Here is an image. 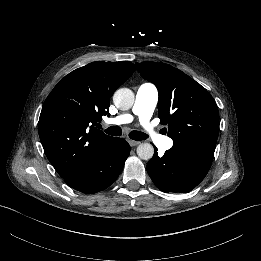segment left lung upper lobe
<instances>
[{
	"label": "left lung upper lobe",
	"mask_w": 261,
	"mask_h": 261,
	"mask_svg": "<svg viewBox=\"0 0 261 261\" xmlns=\"http://www.w3.org/2000/svg\"><path fill=\"white\" fill-rule=\"evenodd\" d=\"M141 76L159 92L158 114L168 124L175 146H195L215 151L219 112L210 93L191 77L168 64L136 63Z\"/></svg>",
	"instance_id": "1"
}]
</instances>
